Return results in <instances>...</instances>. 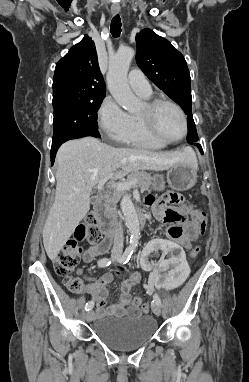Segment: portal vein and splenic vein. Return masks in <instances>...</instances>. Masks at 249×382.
<instances>
[{
	"label": "portal vein and splenic vein",
	"mask_w": 249,
	"mask_h": 382,
	"mask_svg": "<svg viewBox=\"0 0 249 382\" xmlns=\"http://www.w3.org/2000/svg\"><path fill=\"white\" fill-rule=\"evenodd\" d=\"M104 183H105V181L100 182L97 185V189L98 190H102V188L104 186ZM136 184H137V180H133V181H130V182L124 181V182L112 183L108 187L112 188V189H117V190H130V188L132 186H135Z\"/></svg>",
	"instance_id": "obj_1"
}]
</instances>
